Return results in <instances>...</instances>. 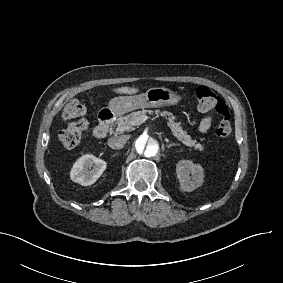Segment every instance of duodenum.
<instances>
[{
  "label": "duodenum",
  "mask_w": 283,
  "mask_h": 283,
  "mask_svg": "<svg viewBox=\"0 0 283 283\" xmlns=\"http://www.w3.org/2000/svg\"><path fill=\"white\" fill-rule=\"evenodd\" d=\"M113 120H114V115L110 111H105L102 114H100L99 123L97 124V126L94 128L93 131L94 136L97 139L105 138L111 129Z\"/></svg>",
  "instance_id": "obj_1"
}]
</instances>
